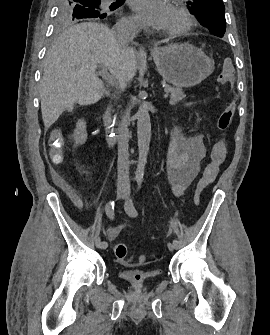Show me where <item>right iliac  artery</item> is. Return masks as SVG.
<instances>
[{
    "instance_id": "82829eb1",
    "label": "right iliac artery",
    "mask_w": 270,
    "mask_h": 335,
    "mask_svg": "<svg viewBox=\"0 0 270 335\" xmlns=\"http://www.w3.org/2000/svg\"><path fill=\"white\" fill-rule=\"evenodd\" d=\"M105 211L107 216L113 220L114 219V201H109L106 204ZM108 247V243L106 241L101 242V249H106Z\"/></svg>"
}]
</instances>
